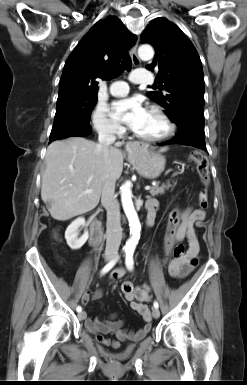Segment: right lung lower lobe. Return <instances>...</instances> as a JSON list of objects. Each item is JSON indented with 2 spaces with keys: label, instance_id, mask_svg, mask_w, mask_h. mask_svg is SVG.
Instances as JSON below:
<instances>
[{
  "label": "right lung lower lobe",
  "instance_id": "obj_1",
  "mask_svg": "<svg viewBox=\"0 0 247 385\" xmlns=\"http://www.w3.org/2000/svg\"><path fill=\"white\" fill-rule=\"evenodd\" d=\"M89 124L71 123L51 131L49 143L70 136H85L91 132Z\"/></svg>",
  "mask_w": 247,
  "mask_h": 385
}]
</instances>
